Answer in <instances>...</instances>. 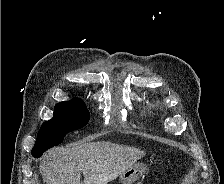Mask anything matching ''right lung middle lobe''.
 <instances>
[{
	"mask_svg": "<svg viewBox=\"0 0 224 184\" xmlns=\"http://www.w3.org/2000/svg\"><path fill=\"white\" fill-rule=\"evenodd\" d=\"M89 118L84 102L56 104L53 118L44 122L38 132L32 154L41 156L47 149L60 144L68 132L84 127Z\"/></svg>",
	"mask_w": 224,
	"mask_h": 184,
	"instance_id": "obj_1",
	"label": "right lung middle lobe"
}]
</instances>
